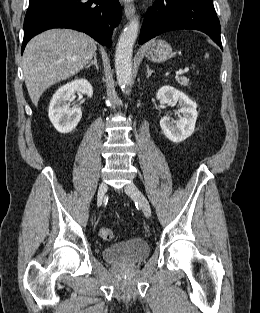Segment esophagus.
I'll return each mask as SVG.
<instances>
[{
  "instance_id": "1",
  "label": "esophagus",
  "mask_w": 260,
  "mask_h": 313,
  "mask_svg": "<svg viewBox=\"0 0 260 313\" xmlns=\"http://www.w3.org/2000/svg\"><path fill=\"white\" fill-rule=\"evenodd\" d=\"M124 13L127 19H131L135 13V6L132 3H125Z\"/></svg>"
}]
</instances>
